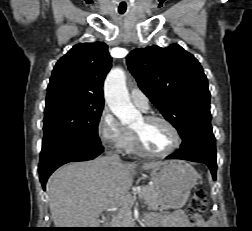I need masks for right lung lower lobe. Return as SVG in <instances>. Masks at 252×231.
Segmentation results:
<instances>
[{
    "mask_svg": "<svg viewBox=\"0 0 252 231\" xmlns=\"http://www.w3.org/2000/svg\"><path fill=\"white\" fill-rule=\"evenodd\" d=\"M103 152L100 143L78 139H62L42 147L39 162V178L43 189L51 173L61 165L72 161L91 160Z\"/></svg>",
    "mask_w": 252,
    "mask_h": 231,
    "instance_id": "obj_1",
    "label": "right lung lower lobe"
}]
</instances>
